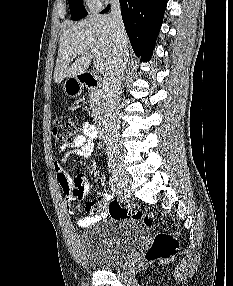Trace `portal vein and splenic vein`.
Returning <instances> with one entry per match:
<instances>
[{
  "instance_id": "portal-vein-and-splenic-vein-1",
  "label": "portal vein and splenic vein",
  "mask_w": 233,
  "mask_h": 286,
  "mask_svg": "<svg viewBox=\"0 0 233 286\" xmlns=\"http://www.w3.org/2000/svg\"><path fill=\"white\" fill-rule=\"evenodd\" d=\"M93 57L96 59V62H95V68L97 71L99 72H102L105 70V64L101 58V53L98 49L96 48H93L90 50Z\"/></svg>"
}]
</instances>
